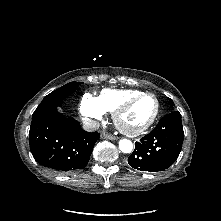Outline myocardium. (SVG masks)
<instances>
[{
	"label": "myocardium",
	"mask_w": 221,
	"mask_h": 221,
	"mask_svg": "<svg viewBox=\"0 0 221 221\" xmlns=\"http://www.w3.org/2000/svg\"><path fill=\"white\" fill-rule=\"evenodd\" d=\"M146 96H151L155 99L156 101V108H155V112L153 114V116L151 117V119L143 126L139 127V128H135V129H130L127 128L126 126H124L121 122V116L122 114L134 103L136 102L138 99L142 98V97H146ZM160 101L158 99V97L151 92H141L139 94H136L126 100H124L114 111L112 114V118H113V122L115 124V126L117 127V129L119 131H121L122 133L126 134V135H130V136H135V135H139L144 133L145 131H147L149 128H151L153 126V124L156 122L159 114H160Z\"/></svg>",
	"instance_id": "myocardium-1"
}]
</instances>
